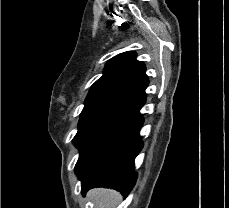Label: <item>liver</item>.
I'll list each match as a JSON object with an SVG mask.
<instances>
[{"mask_svg":"<svg viewBox=\"0 0 229 208\" xmlns=\"http://www.w3.org/2000/svg\"><path fill=\"white\" fill-rule=\"evenodd\" d=\"M89 198L95 202L96 208H115L121 202V194L115 190H90L88 192Z\"/></svg>","mask_w":229,"mask_h":208,"instance_id":"obj_1","label":"liver"}]
</instances>
